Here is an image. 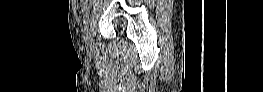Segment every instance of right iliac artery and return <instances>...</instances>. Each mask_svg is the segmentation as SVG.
<instances>
[{"instance_id":"obj_1","label":"right iliac artery","mask_w":263,"mask_h":92,"mask_svg":"<svg viewBox=\"0 0 263 92\" xmlns=\"http://www.w3.org/2000/svg\"><path fill=\"white\" fill-rule=\"evenodd\" d=\"M87 10H90V7H87ZM83 31L86 32L88 31L89 28V21L88 18H85L84 24L82 25Z\"/></svg>"}]
</instances>
